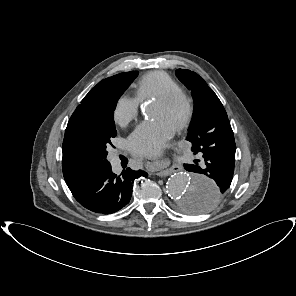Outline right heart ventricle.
<instances>
[{
	"label": "right heart ventricle",
	"mask_w": 296,
	"mask_h": 296,
	"mask_svg": "<svg viewBox=\"0 0 296 296\" xmlns=\"http://www.w3.org/2000/svg\"><path fill=\"white\" fill-rule=\"evenodd\" d=\"M179 89L180 85L173 77L162 71H152L137 81L134 94L138 102H143Z\"/></svg>",
	"instance_id": "e07e8e85"
}]
</instances>
